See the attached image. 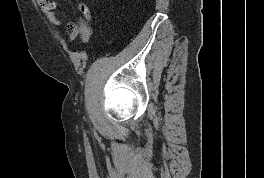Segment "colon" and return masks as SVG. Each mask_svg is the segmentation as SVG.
<instances>
[{"label": "colon", "instance_id": "5ec220e1", "mask_svg": "<svg viewBox=\"0 0 264 178\" xmlns=\"http://www.w3.org/2000/svg\"><path fill=\"white\" fill-rule=\"evenodd\" d=\"M79 12L81 14V25L78 31L69 34L71 40L80 38L82 42H87L91 34L92 13L89 5L83 1L79 3Z\"/></svg>", "mask_w": 264, "mask_h": 178}]
</instances>
